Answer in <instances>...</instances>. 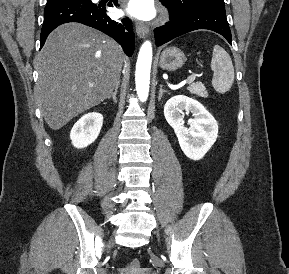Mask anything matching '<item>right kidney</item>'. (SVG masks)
Instances as JSON below:
<instances>
[{
	"label": "right kidney",
	"instance_id": "ca27d5eb",
	"mask_svg": "<svg viewBox=\"0 0 289 274\" xmlns=\"http://www.w3.org/2000/svg\"><path fill=\"white\" fill-rule=\"evenodd\" d=\"M103 124V116L90 112L82 116L73 126L70 139L75 148L82 149L92 144L98 137Z\"/></svg>",
	"mask_w": 289,
	"mask_h": 274
}]
</instances>
